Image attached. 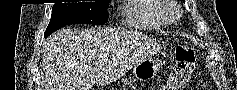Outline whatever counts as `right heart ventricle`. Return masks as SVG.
<instances>
[{"instance_id": "1", "label": "right heart ventricle", "mask_w": 237, "mask_h": 90, "mask_svg": "<svg viewBox=\"0 0 237 90\" xmlns=\"http://www.w3.org/2000/svg\"><path fill=\"white\" fill-rule=\"evenodd\" d=\"M126 1L132 7H122L120 12L127 15V19H120V21H125L127 28L166 29L169 27L170 24L156 14H171L169 7H166L171 6V2H160V0Z\"/></svg>"}]
</instances>
